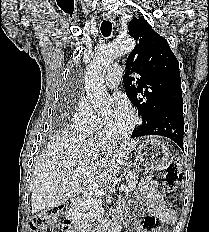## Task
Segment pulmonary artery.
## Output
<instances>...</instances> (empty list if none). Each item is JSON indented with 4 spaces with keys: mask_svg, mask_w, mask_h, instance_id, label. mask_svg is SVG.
I'll return each mask as SVG.
<instances>
[{
    "mask_svg": "<svg viewBox=\"0 0 209 232\" xmlns=\"http://www.w3.org/2000/svg\"><path fill=\"white\" fill-rule=\"evenodd\" d=\"M122 75L123 67L120 64L111 65L105 76L106 85L110 88L116 87L120 83Z\"/></svg>",
    "mask_w": 209,
    "mask_h": 232,
    "instance_id": "obj_1",
    "label": "pulmonary artery"
}]
</instances>
